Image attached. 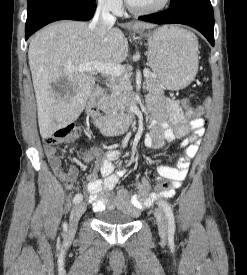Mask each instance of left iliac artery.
I'll use <instances>...</instances> for the list:
<instances>
[{
    "label": "left iliac artery",
    "mask_w": 247,
    "mask_h": 275,
    "mask_svg": "<svg viewBox=\"0 0 247 275\" xmlns=\"http://www.w3.org/2000/svg\"><path fill=\"white\" fill-rule=\"evenodd\" d=\"M159 205L163 208L167 220H168V231L170 235H173L175 233V219L173 211L170 207V205L165 201H159Z\"/></svg>",
    "instance_id": "1"
}]
</instances>
